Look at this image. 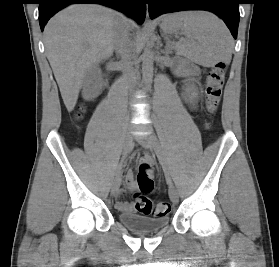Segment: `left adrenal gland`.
<instances>
[{"label":"left adrenal gland","mask_w":279,"mask_h":267,"mask_svg":"<svg viewBox=\"0 0 279 267\" xmlns=\"http://www.w3.org/2000/svg\"><path fill=\"white\" fill-rule=\"evenodd\" d=\"M162 52H163L165 55H168V52H167V51H164V50H163Z\"/></svg>","instance_id":"1"}]
</instances>
